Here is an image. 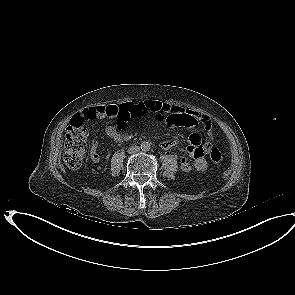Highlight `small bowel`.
<instances>
[{"mask_svg":"<svg viewBox=\"0 0 295 295\" xmlns=\"http://www.w3.org/2000/svg\"><path fill=\"white\" fill-rule=\"evenodd\" d=\"M133 110L134 118H141L146 112H152L156 118L163 120L169 127L182 126L192 129L193 132L188 138L186 150L191 160L183 158L180 161V167L183 171H205L208 168L206 155L213 146V127L210 117L206 114L185 109L171 104L161 102L159 100H143L126 104ZM107 106H94L85 108L80 111L74 118L80 122H88L96 119H103ZM201 126L205 132L206 141L201 144V133L196 130ZM106 132L116 142H124L131 137V133L120 129L112 124L107 126ZM98 141L93 139L90 147V158L93 162L99 163L102 156L98 150ZM182 145L178 140H165L161 143V147L165 150L172 149Z\"/></svg>","mask_w":295,"mask_h":295,"instance_id":"small-bowel-1","label":"small bowel"}]
</instances>
